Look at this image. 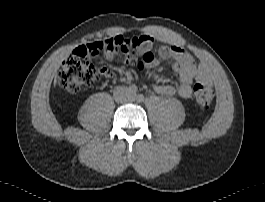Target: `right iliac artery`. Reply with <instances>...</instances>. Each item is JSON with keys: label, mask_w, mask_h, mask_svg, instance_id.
Instances as JSON below:
<instances>
[{"label": "right iliac artery", "mask_w": 265, "mask_h": 202, "mask_svg": "<svg viewBox=\"0 0 265 202\" xmlns=\"http://www.w3.org/2000/svg\"><path fill=\"white\" fill-rule=\"evenodd\" d=\"M128 91L130 93L135 94L137 92V87L135 85H130L129 88H128Z\"/></svg>", "instance_id": "82829eb1"}]
</instances>
